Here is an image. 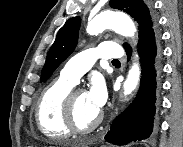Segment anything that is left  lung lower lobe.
Listing matches in <instances>:
<instances>
[{"label":"left lung lower lobe","instance_id":"left-lung-lower-lobe-1","mask_svg":"<svg viewBox=\"0 0 183 147\" xmlns=\"http://www.w3.org/2000/svg\"><path fill=\"white\" fill-rule=\"evenodd\" d=\"M125 50L130 58L131 47ZM138 50L142 69L139 93L127 109L115 118L110 131L105 136L107 142L116 145L147 139L158 124L162 51L157 25L139 39Z\"/></svg>","mask_w":183,"mask_h":147}]
</instances>
